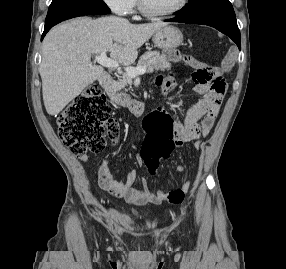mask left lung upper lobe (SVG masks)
<instances>
[{
    "instance_id": "5c2ea615",
    "label": "left lung upper lobe",
    "mask_w": 286,
    "mask_h": 269,
    "mask_svg": "<svg viewBox=\"0 0 286 269\" xmlns=\"http://www.w3.org/2000/svg\"><path fill=\"white\" fill-rule=\"evenodd\" d=\"M189 4L178 11L183 18L198 16H231L235 12L229 0H188Z\"/></svg>"
}]
</instances>
